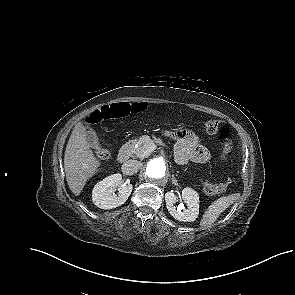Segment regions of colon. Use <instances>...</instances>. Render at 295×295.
Returning <instances> with one entry per match:
<instances>
[{
    "label": "colon",
    "instance_id": "1",
    "mask_svg": "<svg viewBox=\"0 0 295 295\" xmlns=\"http://www.w3.org/2000/svg\"><path fill=\"white\" fill-rule=\"evenodd\" d=\"M146 107L147 105L142 102H119L111 105H106L101 109H97L92 112L88 116L87 122L90 124H96L105 120L124 118L132 113H139L145 110ZM204 127L207 133L214 136L222 144L220 159L222 162L227 161L228 155L231 151V145L229 142V137L231 134L230 128L213 119H206L204 121ZM215 138L212 141L214 143L213 152L216 154L218 152V141ZM96 156L100 160H106L109 157V151L105 148H99L96 150ZM228 185V181L222 183H211L208 181H204L202 184V189L206 194H218L225 191L228 188Z\"/></svg>",
    "mask_w": 295,
    "mask_h": 295
}]
</instances>
